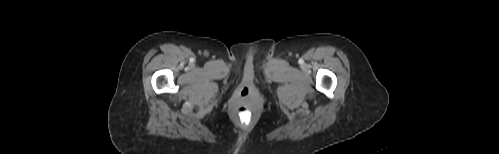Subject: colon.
<instances>
[{"mask_svg":"<svg viewBox=\"0 0 499 154\" xmlns=\"http://www.w3.org/2000/svg\"><path fill=\"white\" fill-rule=\"evenodd\" d=\"M236 114L242 123H249L252 117L251 106L247 102H242L236 108Z\"/></svg>","mask_w":499,"mask_h":154,"instance_id":"obj_1","label":"colon"}]
</instances>
